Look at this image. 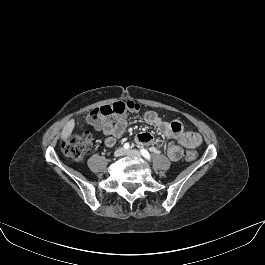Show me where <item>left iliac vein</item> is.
Wrapping results in <instances>:
<instances>
[{"instance_id":"4c4485c4","label":"left iliac vein","mask_w":265,"mask_h":265,"mask_svg":"<svg viewBox=\"0 0 265 265\" xmlns=\"http://www.w3.org/2000/svg\"><path fill=\"white\" fill-rule=\"evenodd\" d=\"M125 155L132 156V157H140L141 156L140 152L137 150H134V149L126 150Z\"/></svg>"}]
</instances>
